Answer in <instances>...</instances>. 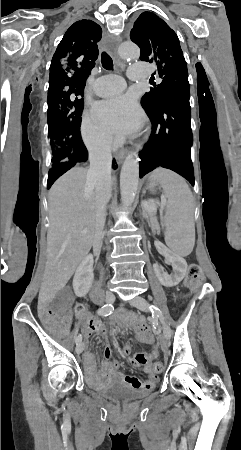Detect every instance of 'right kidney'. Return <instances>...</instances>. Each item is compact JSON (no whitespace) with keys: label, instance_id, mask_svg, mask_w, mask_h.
I'll list each match as a JSON object with an SVG mask.
<instances>
[{"label":"right kidney","instance_id":"right-kidney-1","mask_svg":"<svg viewBox=\"0 0 241 450\" xmlns=\"http://www.w3.org/2000/svg\"><path fill=\"white\" fill-rule=\"evenodd\" d=\"M93 256L89 254L81 264H79L73 278V290L78 298H83L88 294L94 280L93 274Z\"/></svg>","mask_w":241,"mask_h":450}]
</instances>
